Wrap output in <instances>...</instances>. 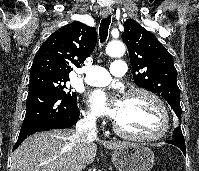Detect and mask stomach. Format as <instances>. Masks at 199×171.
<instances>
[{
	"instance_id": "obj_1",
	"label": "stomach",
	"mask_w": 199,
	"mask_h": 171,
	"mask_svg": "<svg viewBox=\"0 0 199 171\" xmlns=\"http://www.w3.org/2000/svg\"><path fill=\"white\" fill-rule=\"evenodd\" d=\"M154 153L143 144L125 142L114 149L112 162L119 171H150Z\"/></svg>"
}]
</instances>
